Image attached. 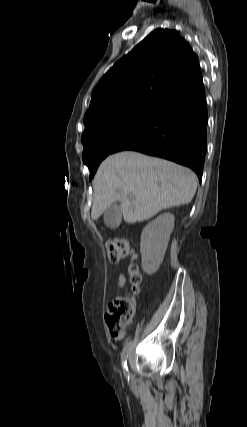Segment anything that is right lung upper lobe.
I'll return each instance as SVG.
<instances>
[{
    "label": "right lung upper lobe",
    "mask_w": 247,
    "mask_h": 427,
    "mask_svg": "<svg viewBox=\"0 0 247 427\" xmlns=\"http://www.w3.org/2000/svg\"><path fill=\"white\" fill-rule=\"evenodd\" d=\"M198 58L176 30L156 29L102 77L84 116L85 128L134 106H158L200 78Z\"/></svg>",
    "instance_id": "cb5924a9"
}]
</instances>
